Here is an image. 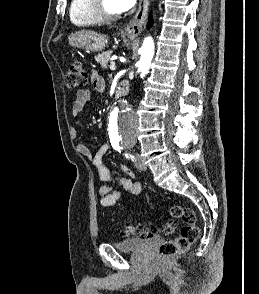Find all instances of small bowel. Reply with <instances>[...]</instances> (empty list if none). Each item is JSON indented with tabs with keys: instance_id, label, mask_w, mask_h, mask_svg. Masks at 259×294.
<instances>
[{
	"instance_id": "c3829d8e",
	"label": "small bowel",
	"mask_w": 259,
	"mask_h": 294,
	"mask_svg": "<svg viewBox=\"0 0 259 294\" xmlns=\"http://www.w3.org/2000/svg\"><path fill=\"white\" fill-rule=\"evenodd\" d=\"M92 84L94 89L98 93H103L105 91V83L103 79L96 73L92 74ZM91 93L89 90H78L75 96V100L72 104V115L78 116L86 104L90 101ZM70 133L73 137L76 136L75 128H71ZM77 150L80 154L88 158L93 166L95 167L98 177L103 182H116L120 189L112 190L108 186L100 187L101 195V205L104 207H110L114 205L117 201L121 200L125 196L132 195L138 196L142 191V184L140 181H133V173L127 167L123 166L122 171L125 177L114 175L109 168H107L103 163V158L109 150L108 145L102 146L96 153H93L88 145L80 143L77 145Z\"/></svg>"
}]
</instances>
